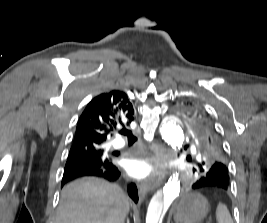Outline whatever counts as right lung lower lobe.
Listing matches in <instances>:
<instances>
[{"mask_svg": "<svg viewBox=\"0 0 267 223\" xmlns=\"http://www.w3.org/2000/svg\"><path fill=\"white\" fill-rule=\"evenodd\" d=\"M84 176H95L104 178L109 181H116L120 178L121 173L118 167L112 163L103 166L90 164L72 171L64 172L62 179V186L73 179ZM128 194L133 199L134 202L136 203L138 202V191L134 183L128 185Z\"/></svg>", "mask_w": 267, "mask_h": 223, "instance_id": "obj_1", "label": "right lung lower lobe"}]
</instances>
